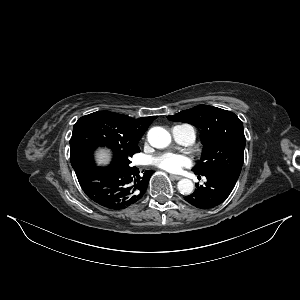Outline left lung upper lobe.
Segmentation results:
<instances>
[{"label":"left lung upper lobe","instance_id":"obj_1","mask_svg":"<svg viewBox=\"0 0 300 300\" xmlns=\"http://www.w3.org/2000/svg\"><path fill=\"white\" fill-rule=\"evenodd\" d=\"M167 118L190 123L201 129L204 148L201 160L192 169L194 173L204 175L222 170L240 175L246 139L243 124L234 113L199 105Z\"/></svg>","mask_w":300,"mask_h":300}]
</instances>
